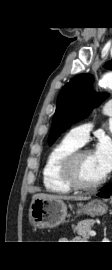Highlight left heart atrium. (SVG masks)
<instances>
[{"label":"left heart atrium","instance_id":"left-heart-atrium-1","mask_svg":"<svg viewBox=\"0 0 112 270\" xmlns=\"http://www.w3.org/2000/svg\"><path fill=\"white\" fill-rule=\"evenodd\" d=\"M93 155L100 172L106 176L112 170V141L106 137L101 138Z\"/></svg>","mask_w":112,"mask_h":270}]
</instances>
